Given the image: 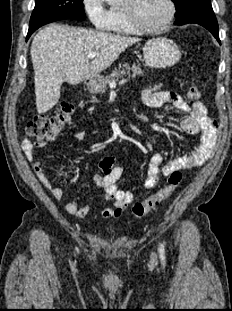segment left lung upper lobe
Listing matches in <instances>:
<instances>
[{"label": "left lung upper lobe", "mask_w": 232, "mask_h": 311, "mask_svg": "<svg viewBox=\"0 0 232 311\" xmlns=\"http://www.w3.org/2000/svg\"><path fill=\"white\" fill-rule=\"evenodd\" d=\"M176 7V16L201 0H172Z\"/></svg>", "instance_id": "left-lung-upper-lobe-1"}]
</instances>
